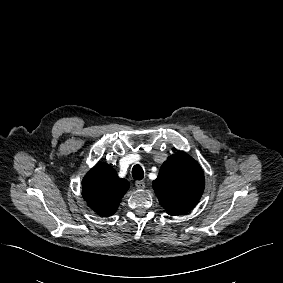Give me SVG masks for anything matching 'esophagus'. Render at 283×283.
Here are the masks:
<instances>
[{
    "label": "esophagus",
    "instance_id": "1",
    "mask_svg": "<svg viewBox=\"0 0 283 283\" xmlns=\"http://www.w3.org/2000/svg\"><path fill=\"white\" fill-rule=\"evenodd\" d=\"M135 186L137 189H144L145 188V182L144 181H136Z\"/></svg>",
    "mask_w": 283,
    "mask_h": 283
}]
</instances>
